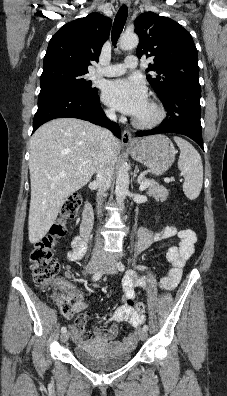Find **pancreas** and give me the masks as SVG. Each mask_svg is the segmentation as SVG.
<instances>
[{"label":"pancreas","mask_w":227,"mask_h":396,"mask_svg":"<svg viewBox=\"0 0 227 396\" xmlns=\"http://www.w3.org/2000/svg\"><path fill=\"white\" fill-rule=\"evenodd\" d=\"M142 182H150L147 192L149 196H152L157 201L159 199L161 201H165L167 199L169 192L164 186L148 179H144Z\"/></svg>","instance_id":"cf45deb5"}]
</instances>
